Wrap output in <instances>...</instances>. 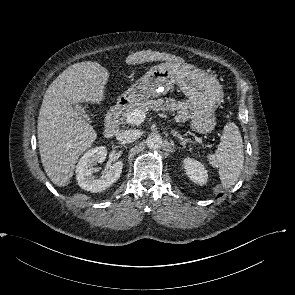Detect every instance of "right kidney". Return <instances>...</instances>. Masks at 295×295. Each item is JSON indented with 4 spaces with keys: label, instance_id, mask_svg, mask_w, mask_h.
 Listing matches in <instances>:
<instances>
[{
    "label": "right kidney",
    "instance_id": "1",
    "mask_svg": "<svg viewBox=\"0 0 295 295\" xmlns=\"http://www.w3.org/2000/svg\"><path fill=\"white\" fill-rule=\"evenodd\" d=\"M107 149L99 146L88 150L79 160L76 168V178L78 185L90 192H101L110 187L119 178L122 172L123 163L117 161L106 168L105 175L100 179H95L92 175L93 166L96 163L105 161Z\"/></svg>",
    "mask_w": 295,
    "mask_h": 295
}]
</instances>
